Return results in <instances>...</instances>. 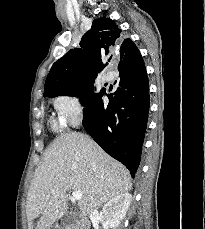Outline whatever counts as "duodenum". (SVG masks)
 Segmentation results:
<instances>
[{
	"label": "duodenum",
	"mask_w": 205,
	"mask_h": 229,
	"mask_svg": "<svg viewBox=\"0 0 205 229\" xmlns=\"http://www.w3.org/2000/svg\"><path fill=\"white\" fill-rule=\"evenodd\" d=\"M61 223L65 224V223H71V221L67 218H63L61 219L60 221ZM74 229H86V225L84 223H79V222H76L74 224Z\"/></svg>",
	"instance_id": "1"
}]
</instances>
